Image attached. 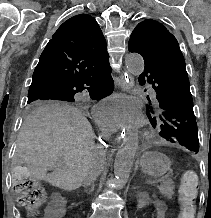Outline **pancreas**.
<instances>
[{"label": "pancreas", "mask_w": 211, "mask_h": 218, "mask_svg": "<svg viewBox=\"0 0 211 218\" xmlns=\"http://www.w3.org/2000/svg\"><path fill=\"white\" fill-rule=\"evenodd\" d=\"M159 192L163 194V196H166L168 200H171L173 194H175V186L174 182L172 180H166V182H160V186H157Z\"/></svg>", "instance_id": "1"}]
</instances>
